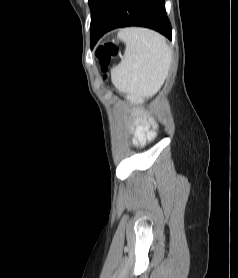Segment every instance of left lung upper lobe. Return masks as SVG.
Masks as SVG:
<instances>
[{
  "instance_id": "obj_1",
  "label": "left lung upper lobe",
  "mask_w": 238,
  "mask_h": 278,
  "mask_svg": "<svg viewBox=\"0 0 238 278\" xmlns=\"http://www.w3.org/2000/svg\"><path fill=\"white\" fill-rule=\"evenodd\" d=\"M97 2V0H89V6H90V10L92 11L95 3Z\"/></svg>"
}]
</instances>
